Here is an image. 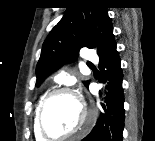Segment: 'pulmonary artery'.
Instances as JSON below:
<instances>
[{
	"mask_svg": "<svg viewBox=\"0 0 155 141\" xmlns=\"http://www.w3.org/2000/svg\"><path fill=\"white\" fill-rule=\"evenodd\" d=\"M83 58L85 61H87L89 64H94L98 62V59L96 55H94L89 49L84 48L83 49Z\"/></svg>",
	"mask_w": 155,
	"mask_h": 141,
	"instance_id": "obj_1",
	"label": "pulmonary artery"
}]
</instances>
